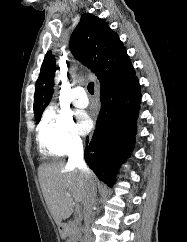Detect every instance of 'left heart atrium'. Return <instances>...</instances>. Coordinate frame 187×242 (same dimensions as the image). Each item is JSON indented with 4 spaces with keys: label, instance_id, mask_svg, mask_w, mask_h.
<instances>
[{
    "label": "left heart atrium",
    "instance_id": "1",
    "mask_svg": "<svg viewBox=\"0 0 187 242\" xmlns=\"http://www.w3.org/2000/svg\"><path fill=\"white\" fill-rule=\"evenodd\" d=\"M77 125L80 133L85 134L92 128V119L88 114L80 112L77 114Z\"/></svg>",
    "mask_w": 187,
    "mask_h": 242
}]
</instances>
